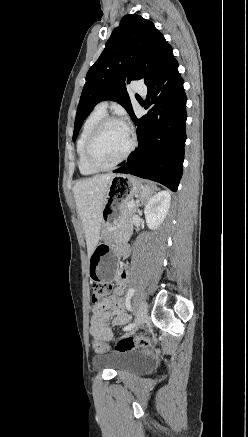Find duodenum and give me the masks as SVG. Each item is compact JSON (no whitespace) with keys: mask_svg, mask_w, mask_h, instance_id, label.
<instances>
[{"mask_svg":"<svg viewBox=\"0 0 248 437\" xmlns=\"http://www.w3.org/2000/svg\"><path fill=\"white\" fill-rule=\"evenodd\" d=\"M121 253H122L123 255H126V254L128 253L127 248H126V247H122V248H121Z\"/></svg>","mask_w":248,"mask_h":437,"instance_id":"1","label":"duodenum"}]
</instances>
